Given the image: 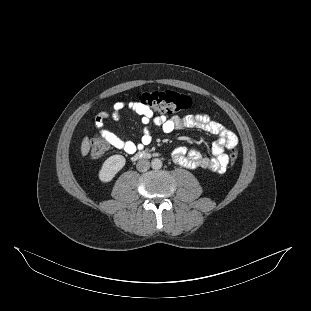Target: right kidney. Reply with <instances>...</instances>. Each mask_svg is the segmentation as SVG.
<instances>
[{
    "label": "right kidney",
    "instance_id": "ca27d5eb",
    "mask_svg": "<svg viewBox=\"0 0 311 311\" xmlns=\"http://www.w3.org/2000/svg\"><path fill=\"white\" fill-rule=\"evenodd\" d=\"M125 159L122 155H114L108 158L100 172L102 181H109L124 166Z\"/></svg>",
    "mask_w": 311,
    "mask_h": 311
}]
</instances>
